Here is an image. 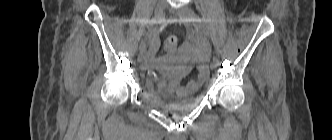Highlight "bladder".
Masks as SVG:
<instances>
[{"instance_id":"31cf9c89","label":"bladder","mask_w":332,"mask_h":140,"mask_svg":"<svg viewBox=\"0 0 332 140\" xmlns=\"http://www.w3.org/2000/svg\"><path fill=\"white\" fill-rule=\"evenodd\" d=\"M202 85L203 82L189 80L183 86H180L182 91L179 93L175 92L166 94L150 91V99L155 105L165 110L180 111L194 101V98L202 88Z\"/></svg>"}]
</instances>
